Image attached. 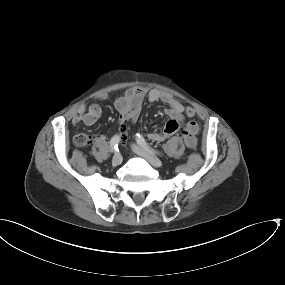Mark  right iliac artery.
I'll list each match as a JSON object with an SVG mask.
<instances>
[{
	"label": "right iliac artery",
	"mask_w": 285,
	"mask_h": 285,
	"mask_svg": "<svg viewBox=\"0 0 285 285\" xmlns=\"http://www.w3.org/2000/svg\"><path fill=\"white\" fill-rule=\"evenodd\" d=\"M119 143H120L119 136H117V135L113 136L111 141H110V147H111L112 152L118 151Z\"/></svg>",
	"instance_id": "right-iliac-artery-1"
}]
</instances>
